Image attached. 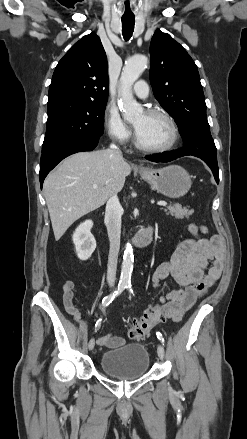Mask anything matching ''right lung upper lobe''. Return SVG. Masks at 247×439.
<instances>
[{"instance_id": "cb5924a9", "label": "right lung upper lobe", "mask_w": 247, "mask_h": 439, "mask_svg": "<svg viewBox=\"0 0 247 439\" xmlns=\"http://www.w3.org/2000/svg\"><path fill=\"white\" fill-rule=\"evenodd\" d=\"M108 66L100 38L91 33L58 62L49 87L48 105L65 100L107 102Z\"/></svg>"}]
</instances>
